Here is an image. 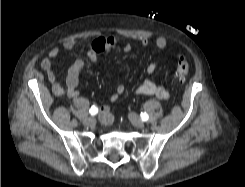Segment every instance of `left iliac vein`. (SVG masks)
I'll return each instance as SVG.
<instances>
[{"label":"left iliac vein","instance_id":"left-iliac-vein-1","mask_svg":"<svg viewBox=\"0 0 245 187\" xmlns=\"http://www.w3.org/2000/svg\"><path fill=\"white\" fill-rule=\"evenodd\" d=\"M129 120L131 121V123L136 127V128H144L145 127V123L138 117V115L134 112H130L128 114Z\"/></svg>","mask_w":245,"mask_h":187}]
</instances>
